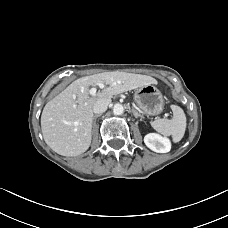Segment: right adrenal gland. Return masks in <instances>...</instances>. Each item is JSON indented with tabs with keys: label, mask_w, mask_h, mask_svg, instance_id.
<instances>
[{
	"label": "right adrenal gland",
	"mask_w": 228,
	"mask_h": 228,
	"mask_svg": "<svg viewBox=\"0 0 228 228\" xmlns=\"http://www.w3.org/2000/svg\"><path fill=\"white\" fill-rule=\"evenodd\" d=\"M100 116H101V114L94 115V117H93V125H94V126L96 125V119H97L98 117H100Z\"/></svg>",
	"instance_id": "right-adrenal-gland-1"
}]
</instances>
